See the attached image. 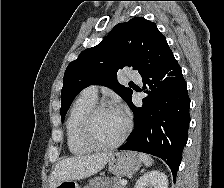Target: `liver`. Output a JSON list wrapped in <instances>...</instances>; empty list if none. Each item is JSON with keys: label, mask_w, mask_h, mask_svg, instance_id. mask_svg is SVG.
Returning a JSON list of instances; mask_svg holds the SVG:
<instances>
[{"label": "liver", "mask_w": 224, "mask_h": 188, "mask_svg": "<svg viewBox=\"0 0 224 188\" xmlns=\"http://www.w3.org/2000/svg\"><path fill=\"white\" fill-rule=\"evenodd\" d=\"M112 152L92 155H78L59 161L51 174L50 188H55L66 180H77L89 177L104 168Z\"/></svg>", "instance_id": "1"}]
</instances>
